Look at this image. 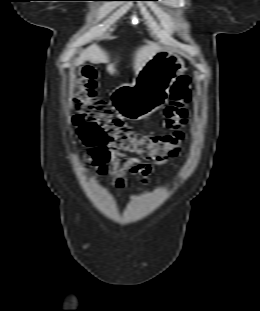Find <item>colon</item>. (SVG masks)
I'll use <instances>...</instances> for the list:
<instances>
[{"label":"colon","instance_id":"colon-1","mask_svg":"<svg viewBox=\"0 0 260 311\" xmlns=\"http://www.w3.org/2000/svg\"><path fill=\"white\" fill-rule=\"evenodd\" d=\"M97 72L84 67L74 86L76 114L73 122L88 148L90 164L105 166L109 158L108 146L117 155L134 154L144 161H165L177 156L185 140L188 124L187 105L190 100V79L180 77L173 84L170 101L163 110L164 124L171 132L166 135H140L132 127L116 118L103 100L96 97Z\"/></svg>","mask_w":260,"mask_h":311}]
</instances>
